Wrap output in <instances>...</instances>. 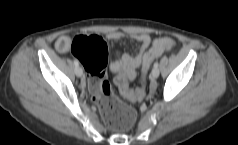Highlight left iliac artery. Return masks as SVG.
Returning a JSON list of instances; mask_svg holds the SVG:
<instances>
[{
  "instance_id": "44dca946",
  "label": "left iliac artery",
  "mask_w": 238,
  "mask_h": 145,
  "mask_svg": "<svg viewBox=\"0 0 238 145\" xmlns=\"http://www.w3.org/2000/svg\"><path fill=\"white\" fill-rule=\"evenodd\" d=\"M158 65H159V63H158V61H156V62L154 63V67H158Z\"/></svg>"
}]
</instances>
